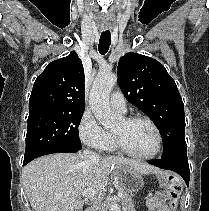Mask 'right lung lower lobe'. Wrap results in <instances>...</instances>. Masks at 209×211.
I'll return each instance as SVG.
<instances>
[{"label":"right lung lower lobe","instance_id":"1","mask_svg":"<svg viewBox=\"0 0 209 211\" xmlns=\"http://www.w3.org/2000/svg\"><path fill=\"white\" fill-rule=\"evenodd\" d=\"M77 151H79V149H75V148H57V149L49 150V151L39 155L38 157L43 156V155H47V154H53V153H76ZM29 162H25V163L23 162V165H26Z\"/></svg>","mask_w":209,"mask_h":211}]
</instances>
